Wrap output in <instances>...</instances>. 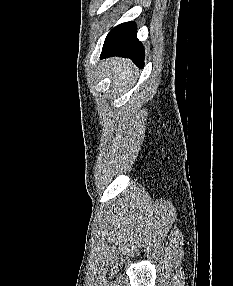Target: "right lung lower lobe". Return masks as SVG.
Instances as JSON below:
<instances>
[{
    "instance_id": "98d812e1",
    "label": "right lung lower lobe",
    "mask_w": 233,
    "mask_h": 286,
    "mask_svg": "<svg viewBox=\"0 0 233 286\" xmlns=\"http://www.w3.org/2000/svg\"><path fill=\"white\" fill-rule=\"evenodd\" d=\"M121 56L130 58L137 66L144 65V48L136 37L134 22L122 23L113 28L107 35L101 58Z\"/></svg>"
}]
</instances>
